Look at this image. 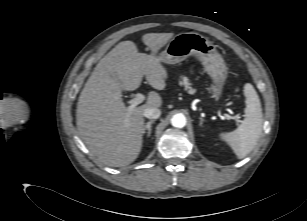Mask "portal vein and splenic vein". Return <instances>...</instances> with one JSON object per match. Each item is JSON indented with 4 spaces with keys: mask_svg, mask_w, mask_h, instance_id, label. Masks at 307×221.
Wrapping results in <instances>:
<instances>
[{
    "mask_svg": "<svg viewBox=\"0 0 307 221\" xmlns=\"http://www.w3.org/2000/svg\"><path fill=\"white\" fill-rule=\"evenodd\" d=\"M145 98H146L145 95H143L142 93H137L135 97L128 102L130 104L128 108L129 111L134 109L137 105L141 104L145 100ZM225 117L227 119H231V116L228 114H225Z\"/></svg>",
    "mask_w": 307,
    "mask_h": 221,
    "instance_id": "obj_1",
    "label": "portal vein and splenic vein"
}]
</instances>
